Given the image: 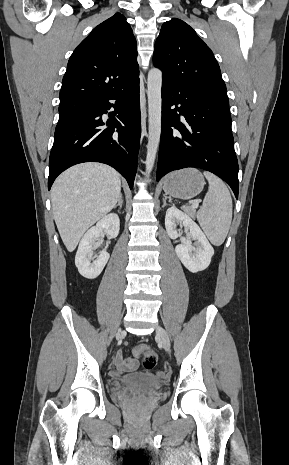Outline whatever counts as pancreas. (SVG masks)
<instances>
[{
  "instance_id": "pancreas-1",
  "label": "pancreas",
  "mask_w": 289,
  "mask_h": 465,
  "mask_svg": "<svg viewBox=\"0 0 289 465\" xmlns=\"http://www.w3.org/2000/svg\"><path fill=\"white\" fill-rule=\"evenodd\" d=\"M188 214H190L191 216H194V211L193 210H187Z\"/></svg>"
}]
</instances>
